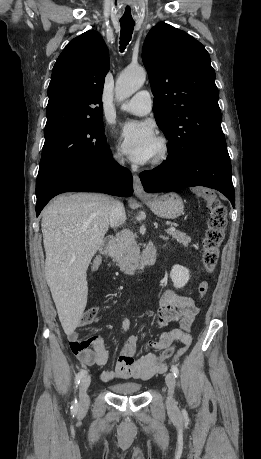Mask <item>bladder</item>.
<instances>
[{
    "label": "bladder",
    "mask_w": 261,
    "mask_h": 459,
    "mask_svg": "<svg viewBox=\"0 0 261 459\" xmlns=\"http://www.w3.org/2000/svg\"><path fill=\"white\" fill-rule=\"evenodd\" d=\"M110 388L114 393L123 395L137 394L142 390L141 384L131 381L114 383Z\"/></svg>",
    "instance_id": "bladder-1"
}]
</instances>
